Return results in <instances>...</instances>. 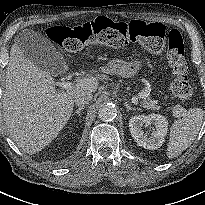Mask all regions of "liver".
Listing matches in <instances>:
<instances>
[{"mask_svg": "<svg viewBox=\"0 0 205 205\" xmlns=\"http://www.w3.org/2000/svg\"><path fill=\"white\" fill-rule=\"evenodd\" d=\"M5 82L3 116L11 138L28 154L57 137L79 93H92L98 87V78L88 74L77 78L71 88L56 90L53 77L32 63L17 43L11 47Z\"/></svg>", "mask_w": 205, "mask_h": 205, "instance_id": "liver-1", "label": "liver"}]
</instances>
